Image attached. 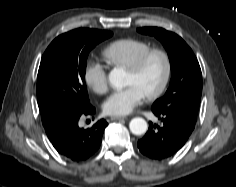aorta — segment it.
<instances>
[{
    "mask_svg": "<svg viewBox=\"0 0 236 187\" xmlns=\"http://www.w3.org/2000/svg\"><path fill=\"white\" fill-rule=\"evenodd\" d=\"M111 86L117 90L122 89L127 85L126 72L121 68L113 69L108 75ZM129 128L132 134L142 135L148 129L147 122L140 117L133 118L129 123Z\"/></svg>",
    "mask_w": 236,
    "mask_h": 187,
    "instance_id": "762f6f07",
    "label": "aorta"
}]
</instances>
